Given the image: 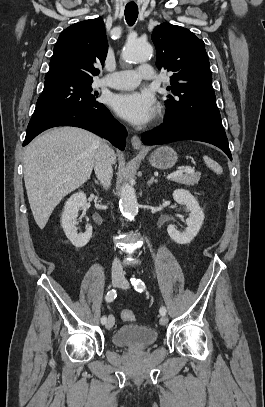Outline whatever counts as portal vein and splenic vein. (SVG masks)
Listing matches in <instances>:
<instances>
[{
  "mask_svg": "<svg viewBox=\"0 0 265 407\" xmlns=\"http://www.w3.org/2000/svg\"><path fill=\"white\" fill-rule=\"evenodd\" d=\"M189 172H193V169H190ZM182 174H183V171H182V170H177V171H175V172L169 174V175L167 176V179H171V178H174V177L179 176V175H182Z\"/></svg>",
  "mask_w": 265,
  "mask_h": 407,
  "instance_id": "18ae733b",
  "label": "portal vein and splenic vein"
}]
</instances>
